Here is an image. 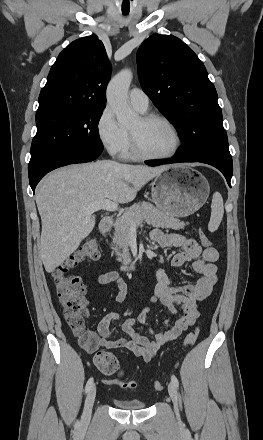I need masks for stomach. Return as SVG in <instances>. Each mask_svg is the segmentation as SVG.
Masks as SVG:
<instances>
[{"instance_id": "1", "label": "stomach", "mask_w": 263, "mask_h": 440, "mask_svg": "<svg viewBox=\"0 0 263 440\" xmlns=\"http://www.w3.org/2000/svg\"><path fill=\"white\" fill-rule=\"evenodd\" d=\"M210 192L209 183L197 170L173 166L152 184V201L172 217H187L199 210Z\"/></svg>"}]
</instances>
